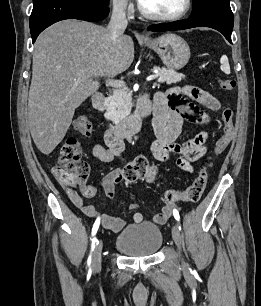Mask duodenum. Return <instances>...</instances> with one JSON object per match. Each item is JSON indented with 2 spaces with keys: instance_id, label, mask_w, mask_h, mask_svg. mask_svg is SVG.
<instances>
[{
  "instance_id": "duodenum-1",
  "label": "duodenum",
  "mask_w": 261,
  "mask_h": 306,
  "mask_svg": "<svg viewBox=\"0 0 261 306\" xmlns=\"http://www.w3.org/2000/svg\"><path fill=\"white\" fill-rule=\"evenodd\" d=\"M91 103L95 109L101 110L105 104L104 94L96 93L92 97ZM150 111L151 108L149 104L147 102H143L137 113L127 117L126 119L118 123L109 124L108 130L110 133H112L117 137L120 138L129 137L140 129L144 118H146L150 114Z\"/></svg>"
}]
</instances>
